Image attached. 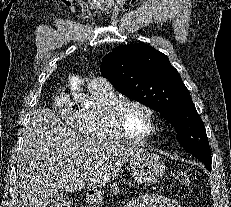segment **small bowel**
I'll return each instance as SVG.
<instances>
[{
	"label": "small bowel",
	"mask_w": 231,
	"mask_h": 207,
	"mask_svg": "<svg viewBox=\"0 0 231 207\" xmlns=\"http://www.w3.org/2000/svg\"><path fill=\"white\" fill-rule=\"evenodd\" d=\"M126 207H181L180 203L160 195H143L130 201Z\"/></svg>",
	"instance_id": "1"
}]
</instances>
